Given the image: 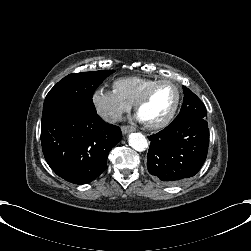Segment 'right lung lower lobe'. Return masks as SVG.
Segmentation results:
<instances>
[{
    "instance_id": "98d812e1",
    "label": "right lung lower lobe",
    "mask_w": 251,
    "mask_h": 251,
    "mask_svg": "<svg viewBox=\"0 0 251 251\" xmlns=\"http://www.w3.org/2000/svg\"><path fill=\"white\" fill-rule=\"evenodd\" d=\"M119 127L96 111L66 105L42 119L41 144L50 168L73 184H85L106 169L110 150L121 140Z\"/></svg>"
}]
</instances>
